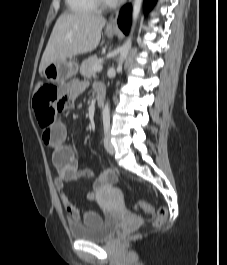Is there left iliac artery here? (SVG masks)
<instances>
[{
  "mask_svg": "<svg viewBox=\"0 0 227 265\" xmlns=\"http://www.w3.org/2000/svg\"><path fill=\"white\" fill-rule=\"evenodd\" d=\"M109 126H110L109 121H105V122H104V132H105V134L108 133V131H109Z\"/></svg>",
  "mask_w": 227,
  "mask_h": 265,
  "instance_id": "44dca946",
  "label": "left iliac artery"
}]
</instances>
